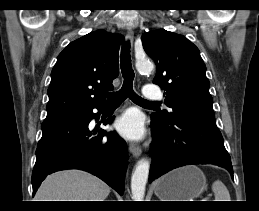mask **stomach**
Instances as JSON below:
<instances>
[{
	"label": "stomach",
	"instance_id": "0dacf381",
	"mask_svg": "<svg viewBox=\"0 0 259 211\" xmlns=\"http://www.w3.org/2000/svg\"><path fill=\"white\" fill-rule=\"evenodd\" d=\"M206 177L197 166H185L155 182L154 192L161 201H188L206 189Z\"/></svg>",
	"mask_w": 259,
	"mask_h": 211
}]
</instances>
